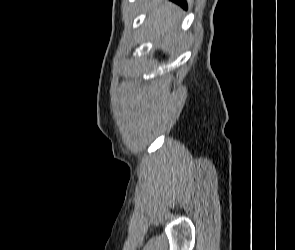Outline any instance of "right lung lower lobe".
I'll return each instance as SVG.
<instances>
[{
  "label": "right lung lower lobe",
  "instance_id": "obj_1",
  "mask_svg": "<svg viewBox=\"0 0 295 250\" xmlns=\"http://www.w3.org/2000/svg\"><path fill=\"white\" fill-rule=\"evenodd\" d=\"M172 1L178 3L179 5H181L185 9L187 8L185 0H172Z\"/></svg>",
  "mask_w": 295,
  "mask_h": 250
}]
</instances>
